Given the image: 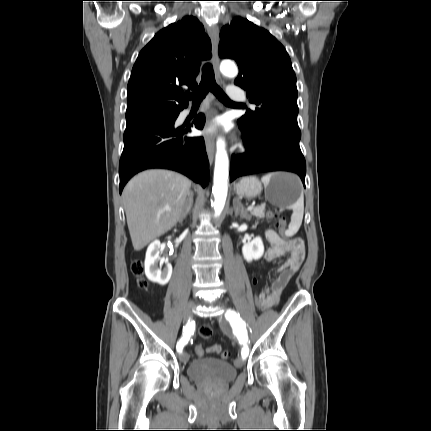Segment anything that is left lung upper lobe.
Here are the masks:
<instances>
[{"label": "left lung upper lobe", "mask_w": 431, "mask_h": 431, "mask_svg": "<svg viewBox=\"0 0 431 431\" xmlns=\"http://www.w3.org/2000/svg\"><path fill=\"white\" fill-rule=\"evenodd\" d=\"M220 37L219 56L236 60L239 75L234 83L257 105L238 120L239 127L253 131L277 122L299 128L296 76L283 45L267 30L242 18L224 27Z\"/></svg>", "instance_id": "obj_1"}]
</instances>
